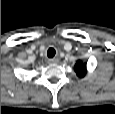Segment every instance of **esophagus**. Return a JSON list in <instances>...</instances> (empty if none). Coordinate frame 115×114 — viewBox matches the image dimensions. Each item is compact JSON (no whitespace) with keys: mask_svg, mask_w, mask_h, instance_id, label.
I'll list each match as a JSON object with an SVG mask.
<instances>
[{"mask_svg":"<svg viewBox=\"0 0 115 114\" xmlns=\"http://www.w3.org/2000/svg\"><path fill=\"white\" fill-rule=\"evenodd\" d=\"M49 63H57L58 62V58H52V59H48Z\"/></svg>","mask_w":115,"mask_h":114,"instance_id":"obj_1","label":"esophagus"}]
</instances>
